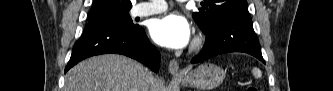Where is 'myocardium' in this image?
Instances as JSON below:
<instances>
[{
  "label": "myocardium",
  "mask_w": 333,
  "mask_h": 91,
  "mask_svg": "<svg viewBox=\"0 0 333 91\" xmlns=\"http://www.w3.org/2000/svg\"><path fill=\"white\" fill-rule=\"evenodd\" d=\"M202 46H203V39L197 36L192 43L191 51L197 52L202 48Z\"/></svg>",
  "instance_id": "myocardium-1"
}]
</instances>
